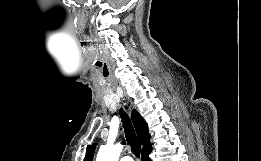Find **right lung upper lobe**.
Listing matches in <instances>:
<instances>
[{"label":"right lung upper lobe","mask_w":261,"mask_h":161,"mask_svg":"<svg viewBox=\"0 0 261 161\" xmlns=\"http://www.w3.org/2000/svg\"><path fill=\"white\" fill-rule=\"evenodd\" d=\"M132 120H133L134 127H135L137 135H138L139 143L141 145H143L142 153L151 151L152 144L149 141L150 135H149L148 127H147L145 120L136 110L132 111ZM95 147H96V144L87 146L86 156L84 158V161H93Z\"/></svg>","instance_id":"right-lung-upper-lobe-1"}]
</instances>
